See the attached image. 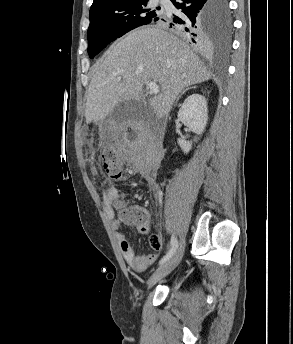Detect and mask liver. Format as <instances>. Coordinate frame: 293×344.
Returning a JSON list of instances; mask_svg holds the SVG:
<instances>
[{
  "label": "liver",
  "mask_w": 293,
  "mask_h": 344,
  "mask_svg": "<svg viewBox=\"0 0 293 344\" xmlns=\"http://www.w3.org/2000/svg\"><path fill=\"white\" fill-rule=\"evenodd\" d=\"M211 77L203 62L172 33L159 26L137 29L111 47L92 77L86 123L101 122L120 102L142 99L146 82H157L161 89L148 103L163 118L182 90Z\"/></svg>",
  "instance_id": "6515ba94"
}]
</instances>
